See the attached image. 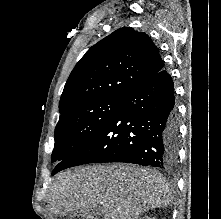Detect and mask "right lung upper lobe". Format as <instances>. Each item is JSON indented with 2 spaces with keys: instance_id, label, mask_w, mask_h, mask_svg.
<instances>
[{
  "instance_id": "obj_1",
  "label": "right lung upper lobe",
  "mask_w": 221,
  "mask_h": 219,
  "mask_svg": "<svg viewBox=\"0 0 221 219\" xmlns=\"http://www.w3.org/2000/svg\"><path fill=\"white\" fill-rule=\"evenodd\" d=\"M164 63L144 32L123 27L92 46L71 72L59 103L60 113L101 98H122L157 74Z\"/></svg>"
}]
</instances>
